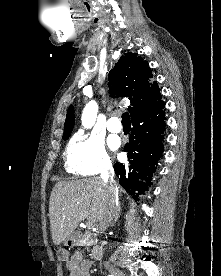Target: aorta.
Here are the masks:
<instances>
[{
	"label": "aorta",
	"instance_id": "aorta-1",
	"mask_svg": "<svg viewBox=\"0 0 221 276\" xmlns=\"http://www.w3.org/2000/svg\"><path fill=\"white\" fill-rule=\"evenodd\" d=\"M97 112H98V106L95 101H90L86 107L84 108V111L82 113V125L85 128H91L97 117Z\"/></svg>",
	"mask_w": 221,
	"mask_h": 276
}]
</instances>
